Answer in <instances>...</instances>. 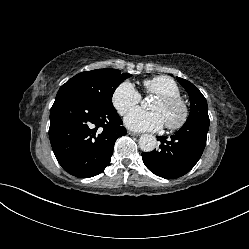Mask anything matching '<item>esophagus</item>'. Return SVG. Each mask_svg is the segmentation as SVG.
Returning a JSON list of instances; mask_svg holds the SVG:
<instances>
[{
	"mask_svg": "<svg viewBox=\"0 0 249 249\" xmlns=\"http://www.w3.org/2000/svg\"><path fill=\"white\" fill-rule=\"evenodd\" d=\"M128 134L131 136H139V133L133 132V131H128Z\"/></svg>",
	"mask_w": 249,
	"mask_h": 249,
	"instance_id": "obj_1",
	"label": "esophagus"
}]
</instances>
